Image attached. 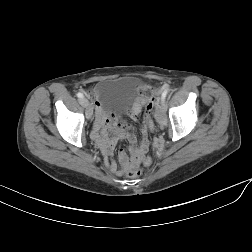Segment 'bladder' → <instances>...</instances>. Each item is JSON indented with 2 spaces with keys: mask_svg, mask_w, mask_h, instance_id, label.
<instances>
[{
  "mask_svg": "<svg viewBox=\"0 0 252 252\" xmlns=\"http://www.w3.org/2000/svg\"><path fill=\"white\" fill-rule=\"evenodd\" d=\"M98 89L101 92V106L105 110L116 104L128 106L142 97L138 82L132 77L101 81Z\"/></svg>",
  "mask_w": 252,
  "mask_h": 252,
  "instance_id": "31cf9c89",
  "label": "bladder"
}]
</instances>
